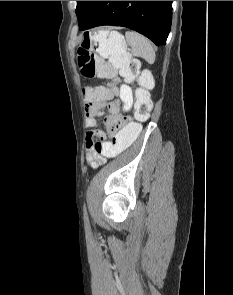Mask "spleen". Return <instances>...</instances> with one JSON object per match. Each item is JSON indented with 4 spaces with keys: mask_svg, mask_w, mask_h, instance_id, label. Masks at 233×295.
Masks as SVG:
<instances>
[{
    "mask_svg": "<svg viewBox=\"0 0 233 295\" xmlns=\"http://www.w3.org/2000/svg\"><path fill=\"white\" fill-rule=\"evenodd\" d=\"M99 42V53L116 67L124 66L127 44L132 48V55L144 58L148 63L155 61V51L151 42L143 35L127 31L125 38L117 31H111L109 34L101 32L97 38Z\"/></svg>",
    "mask_w": 233,
    "mask_h": 295,
    "instance_id": "1",
    "label": "spleen"
}]
</instances>
